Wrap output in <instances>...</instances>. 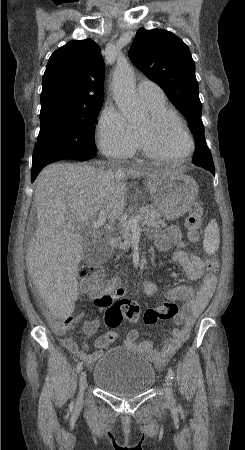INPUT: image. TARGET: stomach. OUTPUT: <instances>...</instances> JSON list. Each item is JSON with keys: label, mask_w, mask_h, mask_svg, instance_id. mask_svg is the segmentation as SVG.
Returning a JSON list of instances; mask_svg holds the SVG:
<instances>
[{"label": "stomach", "mask_w": 245, "mask_h": 450, "mask_svg": "<svg viewBox=\"0 0 245 450\" xmlns=\"http://www.w3.org/2000/svg\"><path fill=\"white\" fill-rule=\"evenodd\" d=\"M146 186L157 211L167 220L184 216L198 194L195 180L177 170L163 169L149 176Z\"/></svg>", "instance_id": "stomach-1"}]
</instances>
